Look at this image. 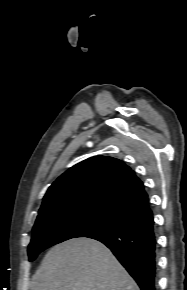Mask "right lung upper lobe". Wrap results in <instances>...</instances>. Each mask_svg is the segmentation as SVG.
I'll return each mask as SVG.
<instances>
[{
	"instance_id": "obj_1",
	"label": "right lung upper lobe",
	"mask_w": 187,
	"mask_h": 290,
	"mask_svg": "<svg viewBox=\"0 0 187 290\" xmlns=\"http://www.w3.org/2000/svg\"><path fill=\"white\" fill-rule=\"evenodd\" d=\"M81 206L110 208L128 221L152 214L134 171L119 159L95 156L63 173L46 192L38 217Z\"/></svg>"
}]
</instances>
